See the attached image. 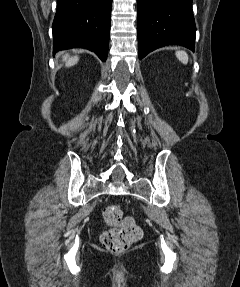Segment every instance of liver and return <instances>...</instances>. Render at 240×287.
I'll return each mask as SVG.
<instances>
[{"instance_id": "1", "label": "liver", "mask_w": 240, "mask_h": 287, "mask_svg": "<svg viewBox=\"0 0 240 287\" xmlns=\"http://www.w3.org/2000/svg\"><path fill=\"white\" fill-rule=\"evenodd\" d=\"M63 60L66 62V67H71L78 62L79 58L77 56L68 58V55H65Z\"/></svg>"}]
</instances>
